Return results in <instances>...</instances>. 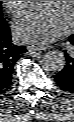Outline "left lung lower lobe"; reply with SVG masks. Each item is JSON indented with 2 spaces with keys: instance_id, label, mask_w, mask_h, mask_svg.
<instances>
[{
  "instance_id": "1",
  "label": "left lung lower lobe",
  "mask_w": 74,
  "mask_h": 122,
  "mask_svg": "<svg viewBox=\"0 0 74 122\" xmlns=\"http://www.w3.org/2000/svg\"><path fill=\"white\" fill-rule=\"evenodd\" d=\"M72 45H74V34L69 37ZM66 65L56 75H54L55 81L61 90L74 94V53L69 54L65 50Z\"/></svg>"
}]
</instances>
